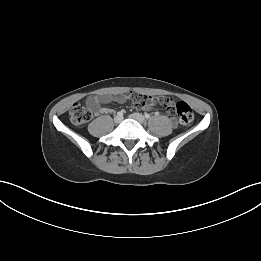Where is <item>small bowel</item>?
Listing matches in <instances>:
<instances>
[{
	"label": "small bowel",
	"instance_id": "1",
	"mask_svg": "<svg viewBox=\"0 0 261 261\" xmlns=\"http://www.w3.org/2000/svg\"><path fill=\"white\" fill-rule=\"evenodd\" d=\"M132 103L133 107L140 108L146 110H151L154 107L158 106L159 99L156 96H149L147 94L139 93L135 90H130L124 95H116V96H90L86 100L87 106L94 112L95 115L110 113L111 109L104 107L103 104L108 103ZM171 122L175 125V121L171 119Z\"/></svg>",
	"mask_w": 261,
	"mask_h": 261
}]
</instances>
